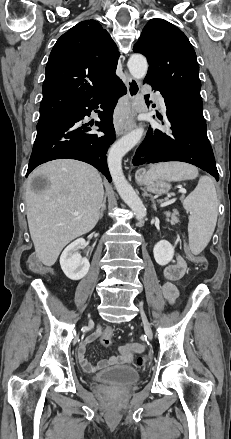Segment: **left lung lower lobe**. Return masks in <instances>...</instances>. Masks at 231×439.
I'll use <instances>...</instances> for the list:
<instances>
[{"mask_svg": "<svg viewBox=\"0 0 231 439\" xmlns=\"http://www.w3.org/2000/svg\"><path fill=\"white\" fill-rule=\"evenodd\" d=\"M154 90L161 92L167 107V121L170 132L159 129L148 130L145 140L141 143L133 157L134 166L181 161L193 164L219 179L215 158L206 133V122L189 109L164 93L156 83L145 79ZM149 106V95H145Z\"/></svg>", "mask_w": 231, "mask_h": 439, "instance_id": "1", "label": "left lung lower lobe"}]
</instances>
